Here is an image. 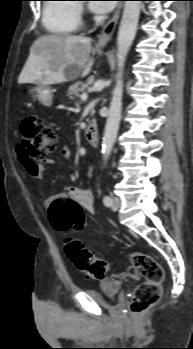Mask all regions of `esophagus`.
Instances as JSON below:
<instances>
[{"instance_id":"obj_1","label":"esophagus","mask_w":193,"mask_h":349,"mask_svg":"<svg viewBox=\"0 0 193 349\" xmlns=\"http://www.w3.org/2000/svg\"><path fill=\"white\" fill-rule=\"evenodd\" d=\"M122 10V3L120 2L117 5V8L111 17V19L107 22V24L103 27L100 35L98 36L97 45L99 47H104L107 43L112 39L113 34L115 32L116 26L118 24V20Z\"/></svg>"}]
</instances>
